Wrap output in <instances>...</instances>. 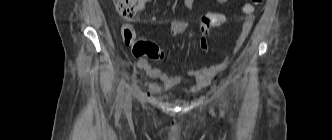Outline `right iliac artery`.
<instances>
[{
  "instance_id": "obj_1",
  "label": "right iliac artery",
  "mask_w": 332,
  "mask_h": 140,
  "mask_svg": "<svg viewBox=\"0 0 332 140\" xmlns=\"http://www.w3.org/2000/svg\"><path fill=\"white\" fill-rule=\"evenodd\" d=\"M118 100H117V109L122 108L123 94H124V82L122 81L118 87Z\"/></svg>"
}]
</instances>
